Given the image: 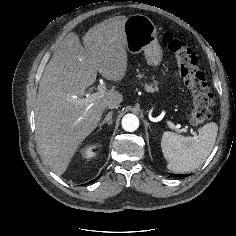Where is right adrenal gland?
Instances as JSON below:
<instances>
[{
  "label": "right adrenal gland",
  "instance_id": "right-adrenal-gland-1",
  "mask_svg": "<svg viewBox=\"0 0 236 236\" xmlns=\"http://www.w3.org/2000/svg\"><path fill=\"white\" fill-rule=\"evenodd\" d=\"M112 115H113V112L111 111L105 116L104 120L99 124L100 129L105 123H107L109 126L112 125Z\"/></svg>",
  "mask_w": 236,
  "mask_h": 236
}]
</instances>
